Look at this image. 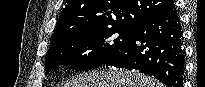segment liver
<instances>
[{
    "instance_id": "1",
    "label": "liver",
    "mask_w": 205,
    "mask_h": 87,
    "mask_svg": "<svg viewBox=\"0 0 205 87\" xmlns=\"http://www.w3.org/2000/svg\"><path fill=\"white\" fill-rule=\"evenodd\" d=\"M64 87H162V84L140 72L114 68L80 74Z\"/></svg>"
}]
</instances>
